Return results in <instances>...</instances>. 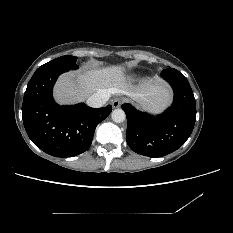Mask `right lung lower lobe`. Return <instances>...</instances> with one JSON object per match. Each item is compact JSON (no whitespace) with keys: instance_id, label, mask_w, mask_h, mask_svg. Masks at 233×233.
<instances>
[{"instance_id":"1","label":"right lung lower lobe","mask_w":233,"mask_h":233,"mask_svg":"<svg viewBox=\"0 0 233 233\" xmlns=\"http://www.w3.org/2000/svg\"><path fill=\"white\" fill-rule=\"evenodd\" d=\"M63 72L53 69L34 73L24 94L22 118L29 138L38 148L55 157H72L89 149L96 126L111 113L112 106L55 103L52 89Z\"/></svg>"}]
</instances>
